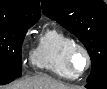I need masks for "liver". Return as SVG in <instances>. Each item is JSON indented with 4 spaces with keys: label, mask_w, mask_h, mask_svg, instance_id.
I'll list each match as a JSON object with an SVG mask.
<instances>
[{
    "label": "liver",
    "mask_w": 107,
    "mask_h": 89,
    "mask_svg": "<svg viewBox=\"0 0 107 89\" xmlns=\"http://www.w3.org/2000/svg\"><path fill=\"white\" fill-rule=\"evenodd\" d=\"M3 89H73L46 75H36L31 78L20 80Z\"/></svg>",
    "instance_id": "liver-1"
}]
</instances>
